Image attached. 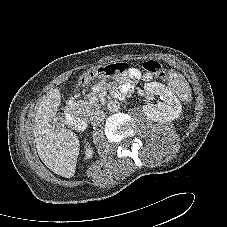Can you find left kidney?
<instances>
[{"instance_id": "1", "label": "left kidney", "mask_w": 227, "mask_h": 227, "mask_svg": "<svg viewBox=\"0 0 227 227\" xmlns=\"http://www.w3.org/2000/svg\"><path fill=\"white\" fill-rule=\"evenodd\" d=\"M145 91L150 96L158 95L162 102L157 104L147 103L142 106L144 114L152 121L166 122L177 119L182 111V106L177 96L164 84L150 82L145 84Z\"/></svg>"}]
</instances>
